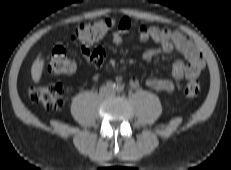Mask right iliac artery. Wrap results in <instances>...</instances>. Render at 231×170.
Wrapping results in <instances>:
<instances>
[{
	"instance_id": "82829eb1",
	"label": "right iliac artery",
	"mask_w": 231,
	"mask_h": 170,
	"mask_svg": "<svg viewBox=\"0 0 231 170\" xmlns=\"http://www.w3.org/2000/svg\"><path fill=\"white\" fill-rule=\"evenodd\" d=\"M106 85H107V88L110 90H114L116 88V84L112 81H108Z\"/></svg>"
}]
</instances>
